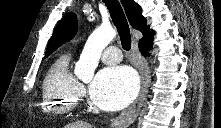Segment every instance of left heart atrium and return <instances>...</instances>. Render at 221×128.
I'll use <instances>...</instances> for the list:
<instances>
[{"mask_svg":"<svg viewBox=\"0 0 221 128\" xmlns=\"http://www.w3.org/2000/svg\"><path fill=\"white\" fill-rule=\"evenodd\" d=\"M139 90V80L128 67H108L101 70L90 87V97L99 107L118 110L133 101Z\"/></svg>","mask_w":221,"mask_h":128,"instance_id":"left-heart-atrium-1","label":"left heart atrium"}]
</instances>
